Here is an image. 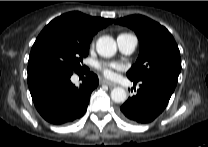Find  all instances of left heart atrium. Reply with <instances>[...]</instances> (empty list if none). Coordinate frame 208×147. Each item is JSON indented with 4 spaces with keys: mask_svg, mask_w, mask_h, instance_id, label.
I'll use <instances>...</instances> for the list:
<instances>
[{
    "mask_svg": "<svg viewBox=\"0 0 208 147\" xmlns=\"http://www.w3.org/2000/svg\"><path fill=\"white\" fill-rule=\"evenodd\" d=\"M96 68L106 77L112 78L115 72L121 69V66L118 63H97Z\"/></svg>",
    "mask_w": 208,
    "mask_h": 147,
    "instance_id": "obj_1",
    "label": "left heart atrium"
}]
</instances>
